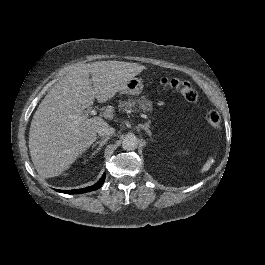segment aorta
<instances>
[{
	"label": "aorta",
	"instance_id": "1",
	"mask_svg": "<svg viewBox=\"0 0 265 265\" xmlns=\"http://www.w3.org/2000/svg\"><path fill=\"white\" fill-rule=\"evenodd\" d=\"M138 146V139L134 134H127L122 141L124 150H135Z\"/></svg>",
	"mask_w": 265,
	"mask_h": 265
}]
</instances>
